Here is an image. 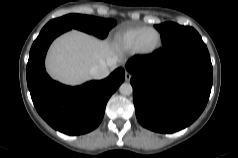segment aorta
<instances>
[{
  "mask_svg": "<svg viewBox=\"0 0 238 158\" xmlns=\"http://www.w3.org/2000/svg\"><path fill=\"white\" fill-rule=\"evenodd\" d=\"M119 91L123 95H130L133 91L132 86L130 83H123L119 87Z\"/></svg>",
  "mask_w": 238,
  "mask_h": 158,
  "instance_id": "aorta-1",
  "label": "aorta"
}]
</instances>
